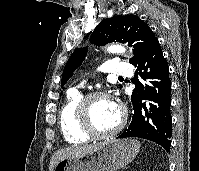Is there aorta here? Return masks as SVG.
<instances>
[{"mask_svg":"<svg viewBox=\"0 0 199 171\" xmlns=\"http://www.w3.org/2000/svg\"><path fill=\"white\" fill-rule=\"evenodd\" d=\"M108 51L111 53H123L125 52V49L120 45H111L108 47Z\"/></svg>","mask_w":199,"mask_h":171,"instance_id":"1","label":"aorta"}]
</instances>
